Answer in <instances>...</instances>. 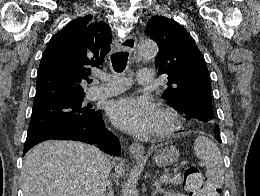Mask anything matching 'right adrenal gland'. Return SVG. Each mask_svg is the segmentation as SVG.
Segmentation results:
<instances>
[{
    "mask_svg": "<svg viewBox=\"0 0 260 196\" xmlns=\"http://www.w3.org/2000/svg\"><path fill=\"white\" fill-rule=\"evenodd\" d=\"M106 196H113V192H112L111 188H109V192H108V194H106Z\"/></svg>",
    "mask_w": 260,
    "mask_h": 196,
    "instance_id": "1",
    "label": "right adrenal gland"
}]
</instances>
